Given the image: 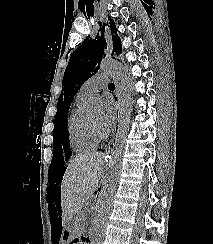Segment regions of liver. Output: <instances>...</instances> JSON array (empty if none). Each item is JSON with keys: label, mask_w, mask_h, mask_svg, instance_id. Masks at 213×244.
Segmentation results:
<instances>
[{"label": "liver", "mask_w": 213, "mask_h": 244, "mask_svg": "<svg viewBox=\"0 0 213 244\" xmlns=\"http://www.w3.org/2000/svg\"><path fill=\"white\" fill-rule=\"evenodd\" d=\"M103 163L104 155L99 152L80 154L69 163L61 183L64 225L70 224L73 215L93 195Z\"/></svg>", "instance_id": "1"}]
</instances>
